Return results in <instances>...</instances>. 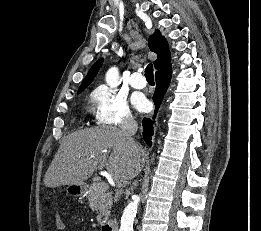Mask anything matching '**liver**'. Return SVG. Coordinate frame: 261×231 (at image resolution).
I'll return each mask as SVG.
<instances>
[{
	"mask_svg": "<svg viewBox=\"0 0 261 231\" xmlns=\"http://www.w3.org/2000/svg\"><path fill=\"white\" fill-rule=\"evenodd\" d=\"M146 152L132 148L121 130L99 126L74 132L62 141L44 177L46 187L82 184L104 168L116 182H126L142 170Z\"/></svg>",
	"mask_w": 261,
	"mask_h": 231,
	"instance_id": "liver-1",
	"label": "liver"
}]
</instances>
